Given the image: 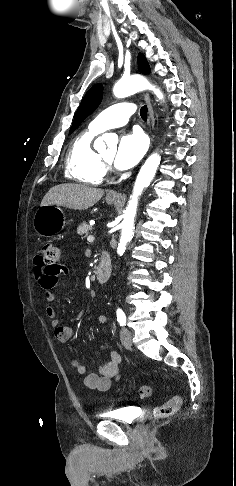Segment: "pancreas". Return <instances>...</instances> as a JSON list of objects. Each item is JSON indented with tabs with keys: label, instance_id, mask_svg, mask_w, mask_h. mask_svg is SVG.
I'll use <instances>...</instances> for the list:
<instances>
[{
	"label": "pancreas",
	"instance_id": "pancreas-1",
	"mask_svg": "<svg viewBox=\"0 0 236 486\" xmlns=\"http://www.w3.org/2000/svg\"><path fill=\"white\" fill-rule=\"evenodd\" d=\"M92 231V226L88 225L87 223H82L77 228V234L80 236L86 237Z\"/></svg>",
	"mask_w": 236,
	"mask_h": 486
}]
</instances>
